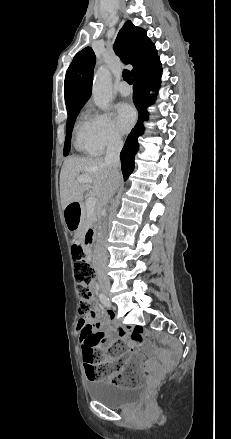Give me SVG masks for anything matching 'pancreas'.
<instances>
[{"instance_id": "obj_1", "label": "pancreas", "mask_w": 231, "mask_h": 439, "mask_svg": "<svg viewBox=\"0 0 231 439\" xmlns=\"http://www.w3.org/2000/svg\"><path fill=\"white\" fill-rule=\"evenodd\" d=\"M97 220L96 213H89L86 206L82 208V221H81V230H84L89 225Z\"/></svg>"}]
</instances>
